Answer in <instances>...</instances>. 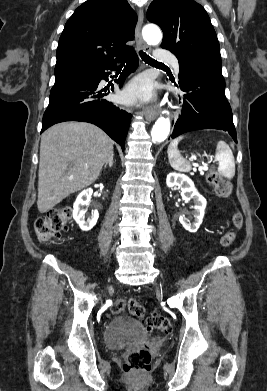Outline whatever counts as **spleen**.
<instances>
[{
    "mask_svg": "<svg viewBox=\"0 0 267 391\" xmlns=\"http://www.w3.org/2000/svg\"><path fill=\"white\" fill-rule=\"evenodd\" d=\"M183 137L175 138L168 146V158L171 167L179 172H189L190 163L184 159L178 151V143ZM215 159L218 161V172L227 179H232L235 175V161L230 147L219 141L216 148Z\"/></svg>",
    "mask_w": 267,
    "mask_h": 391,
    "instance_id": "obj_1",
    "label": "spleen"
}]
</instances>
